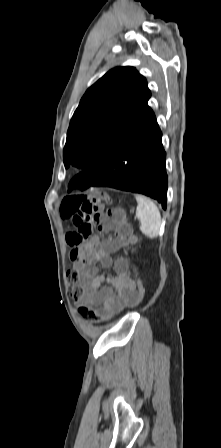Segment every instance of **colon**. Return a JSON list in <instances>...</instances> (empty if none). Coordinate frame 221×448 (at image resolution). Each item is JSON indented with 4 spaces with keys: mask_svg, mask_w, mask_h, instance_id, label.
<instances>
[{
    "mask_svg": "<svg viewBox=\"0 0 221 448\" xmlns=\"http://www.w3.org/2000/svg\"><path fill=\"white\" fill-rule=\"evenodd\" d=\"M110 202L108 195L104 193H94L92 195H70L66 196L60 206V215L64 220H70L82 240L88 239L92 232L94 225L99 223L101 219V212L104 211V205ZM108 221L113 224H123L121 214L112 210L108 211ZM96 258V254L90 253L84 257L86 262H90ZM67 278L71 285L70 295L74 299L81 297L82 288L80 285L79 274L75 269L67 272ZM137 286V300L132 306L138 305L144 295L145 287L140 278L136 279ZM80 314L90 322L96 320V315L93 310L83 306L79 309Z\"/></svg>",
    "mask_w": 221,
    "mask_h": 448,
    "instance_id": "5ec220e1",
    "label": "colon"
}]
</instances>
